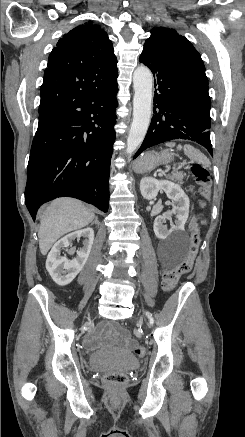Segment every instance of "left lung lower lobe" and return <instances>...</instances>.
Returning <instances> with one entry per match:
<instances>
[{"instance_id": "obj_1", "label": "left lung lower lobe", "mask_w": 245, "mask_h": 437, "mask_svg": "<svg viewBox=\"0 0 245 437\" xmlns=\"http://www.w3.org/2000/svg\"><path fill=\"white\" fill-rule=\"evenodd\" d=\"M140 62L155 77V115L134 159L146 149L173 139L195 141L212 155L208 83L147 52H142Z\"/></svg>"}]
</instances>
